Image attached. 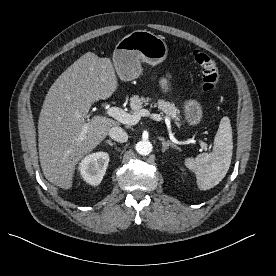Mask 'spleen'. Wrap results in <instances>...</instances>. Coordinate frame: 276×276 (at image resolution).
<instances>
[{
  "mask_svg": "<svg viewBox=\"0 0 276 276\" xmlns=\"http://www.w3.org/2000/svg\"><path fill=\"white\" fill-rule=\"evenodd\" d=\"M232 152L233 136L230 119L223 117L214 138L212 152L185 160V166L196 174L199 189H211L222 181L229 170Z\"/></svg>",
  "mask_w": 276,
  "mask_h": 276,
  "instance_id": "obj_1",
  "label": "spleen"
}]
</instances>
